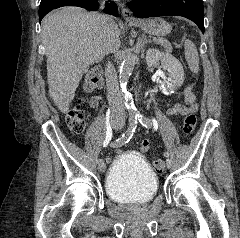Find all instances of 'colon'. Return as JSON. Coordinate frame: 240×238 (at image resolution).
<instances>
[{"mask_svg": "<svg viewBox=\"0 0 240 238\" xmlns=\"http://www.w3.org/2000/svg\"><path fill=\"white\" fill-rule=\"evenodd\" d=\"M102 86V75L99 70L90 72L86 78L85 88L88 93L97 91ZM184 98L188 105L196 103V95L192 85H188L184 90ZM66 123L69 129L75 134H81L86 127L85 113L81 105L72 107L66 115ZM196 126V115L190 112L185 115L183 121V132L186 135L193 133ZM153 167L157 172L164 169V161L157 159L153 163Z\"/></svg>", "mask_w": 240, "mask_h": 238, "instance_id": "5ec220e1", "label": "colon"}]
</instances>
